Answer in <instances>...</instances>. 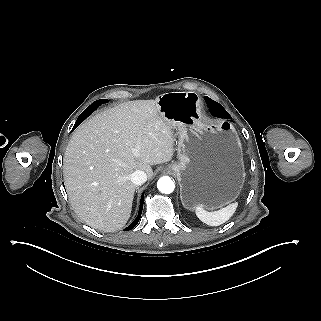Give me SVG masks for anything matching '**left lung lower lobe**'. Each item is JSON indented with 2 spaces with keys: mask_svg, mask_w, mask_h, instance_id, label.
Returning <instances> with one entry per match:
<instances>
[{
  "mask_svg": "<svg viewBox=\"0 0 321 321\" xmlns=\"http://www.w3.org/2000/svg\"><path fill=\"white\" fill-rule=\"evenodd\" d=\"M208 104V107L211 111V113L217 117H224L226 115V112H224L223 110H221L216 103L215 104Z\"/></svg>",
  "mask_w": 321,
  "mask_h": 321,
  "instance_id": "1",
  "label": "left lung lower lobe"
}]
</instances>
